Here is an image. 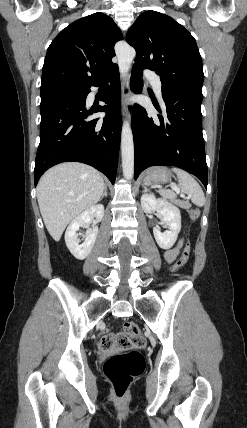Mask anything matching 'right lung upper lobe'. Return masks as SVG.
I'll use <instances>...</instances> for the list:
<instances>
[{"label":"right lung upper lobe","mask_w":247,"mask_h":428,"mask_svg":"<svg viewBox=\"0 0 247 428\" xmlns=\"http://www.w3.org/2000/svg\"><path fill=\"white\" fill-rule=\"evenodd\" d=\"M121 30L111 17L97 12L63 29L50 44L42 69L41 94L86 89L117 65L114 45Z\"/></svg>","instance_id":"cb5924a9"}]
</instances>
